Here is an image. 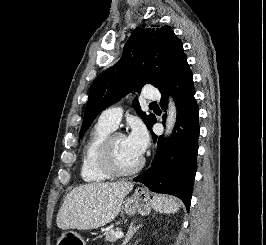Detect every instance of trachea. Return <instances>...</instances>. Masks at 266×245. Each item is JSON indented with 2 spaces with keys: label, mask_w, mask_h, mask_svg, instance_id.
<instances>
[{
  "label": "trachea",
  "mask_w": 266,
  "mask_h": 245,
  "mask_svg": "<svg viewBox=\"0 0 266 245\" xmlns=\"http://www.w3.org/2000/svg\"><path fill=\"white\" fill-rule=\"evenodd\" d=\"M157 104V102H151V104L150 105H156Z\"/></svg>",
  "instance_id": "obj_1"
}]
</instances>
